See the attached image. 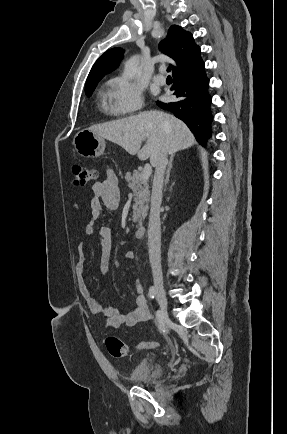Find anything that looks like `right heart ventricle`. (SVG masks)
<instances>
[{
	"label": "right heart ventricle",
	"mask_w": 287,
	"mask_h": 434,
	"mask_svg": "<svg viewBox=\"0 0 287 434\" xmlns=\"http://www.w3.org/2000/svg\"><path fill=\"white\" fill-rule=\"evenodd\" d=\"M102 107H103V109L111 112L110 107L106 102H103Z\"/></svg>",
	"instance_id": "obj_1"
}]
</instances>
